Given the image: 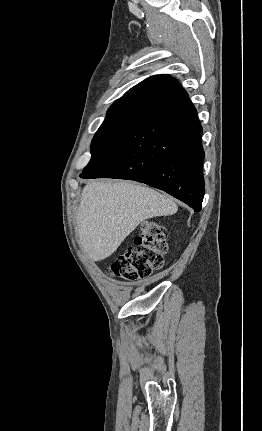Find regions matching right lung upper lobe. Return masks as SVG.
<instances>
[{
    "label": "right lung upper lobe",
    "mask_w": 262,
    "mask_h": 431,
    "mask_svg": "<svg viewBox=\"0 0 262 431\" xmlns=\"http://www.w3.org/2000/svg\"><path fill=\"white\" fill-rule=\"evenodd\" d=\"M187 100L188 94L177 80L167 75L151 76L116 100L102 125H134Z\"/></svg>",
    "instance_id": "right-lung-upper-lobe-1"
}]
</instances>
